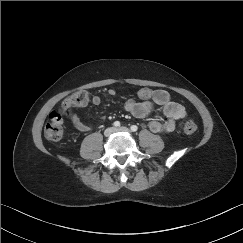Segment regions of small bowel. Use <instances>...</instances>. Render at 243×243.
I'll return each mask as SVG.
<instances>
[{
    "instance_id": "obj_1",
    "label": "small bowel",
    "mask_w": 243,
    "mask_h": 243,
    "mask_svg": "<svg viewBox=\"0 0 243 243\" xmlns=\"http://www.w3.org/2000/svg\"><path fill=\"white\" fill-rule=\"evenodd\" d=\"M145 92H148V95H145ZM108 94L113 95L114 91L109 90ZM139 97L142 99L141 101H136L132 98L126 100L124 105L125 110L134 117L142 119L150 114L155 107H162L167 120L161 123L157 119H152L149 127L154 133H170L174 131L177 127V122L186 116L185 107L180 103L171 101L170 94L166 90L158 89L152 92L147 88H142L139 91ZM101 101L102 98L98 95L92 98L94 105H99ZM70 118L74 127L79 131L87 132L91 129L78 114L72 113Z\"/></svg>"
}]
</instances>
